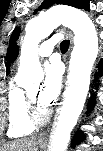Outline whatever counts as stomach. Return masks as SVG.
<instances>
[{
  "mask_svg": "<svg viewBox=\"0 0 103 151\" xmlns=\"http://www.w3.org/2000/svg\"><path fill=\"white\" fill-rule=\"evenodd\" d=\"M39 147H43L44 146V143L39 141L38 144H37Z\"/></svg>",
  "mask_w": 103,
  "mask_h": 151,
  "instance_id": "0dacf381",
  "label": "stomach"
}]
</instances>
